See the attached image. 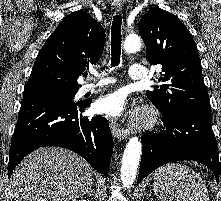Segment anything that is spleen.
Wrapping results in <instances>:
<instances>
[{"instance_id": "1", "label": "spleen", "mask_w": 221, "mask_h": 201, "mask_svg": "<svg viewBox=\"0 0 221 201\" xmlns=\"http://www.w3.org/2000/svg\"><path fill=\"white\" fill-rule=\"evenodd\" d=\"M153 187L160 201H209L201 177L184 164L169 163L158 168Z\"/></svg>"}]
</instances>
